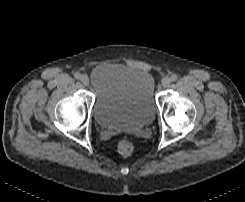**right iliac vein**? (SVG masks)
Returning <instances> with one entry per match:
<instances>
[{
	"label": "right iliac vein",
	"mask_w": 245,
	"mask_h": 202,
	"mask_svg": "<svg viewBox=\"0 0 245 202\" xmlns=\"http://www.w3.org/2000/svg\"><path fill=\"white\" fill-rule=\"evenodd\" d=\"M80 81H81V83L83 84V85H88L89 84V78H88V76H86V75H82L81 77H80Z\"/></svg>",
	"instance_id": "right-iliac-vein-1"
}]
</instances>
